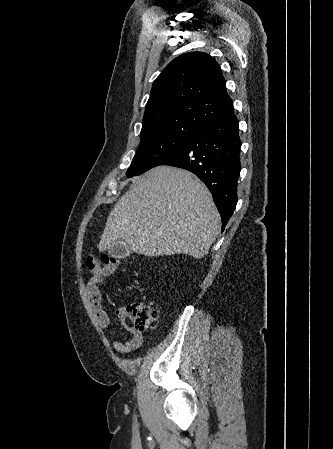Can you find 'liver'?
I'll return each mask as SVG.
<instances>
[{
	"instance_id": "obj_1",
	"label": "liver",
	"mask_w": 333,
	"mask_h": 449,
	"mask_svg": "<svg viewBox=\"0 0 333 449\" xmlns=\"http://www.w3.org/2000/svg\"><path fill=\"white\" fill-rule=\"evenodd\" d=\"M220 214L208 188L184 169L158 166L132 179L104 228L99 251L117 241L145 256L208 254Z\"/></svg>"
}]
</instances>
